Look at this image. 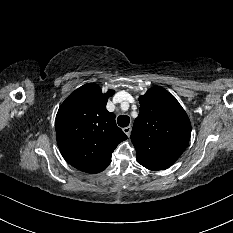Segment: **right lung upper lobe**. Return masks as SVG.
<instances>
[{
	"label": "right lung upper lobe",
	"mask_w": 233,
	"mask_h": 233,
	"mask_svg": "<svg viewBox=\"0 0 233 233\" xmlns=\"http://www.w3.org/2000/svg\"><path fill=\"white\" fill-rule=\"evenodd\" d=\"M114 94H103L89 83L72 92L56 116V139L64 159L86 173H99L111 162L117 145L127 136L117 127L115 114L106 110Z\"/></svg>",
	"instance_id": "cb5924a9"
}]
</instances>
